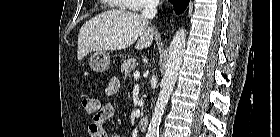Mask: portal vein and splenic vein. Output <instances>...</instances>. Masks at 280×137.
Returning <instances> with one entry per match:
<instances>
[{"label": "portal vein and splenic vein", "mask_w": 280, "mask_h": 137, "mask_svg": "<svg viewBox=\"0 0 280 137\" xmlns=\"http://www.w3.org/2000/svg\"><path fill=\"white\" fill-rule=\"evenodd\" d=\"M140 78V72L139 71H135L134 72V79L137 80Z\"/></svg>", "instance_id": "portal-vein-and-splenic-vein-1"}]
</instances>
